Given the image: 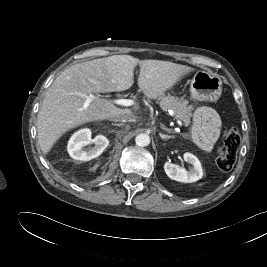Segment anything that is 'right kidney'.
<instances>
[{
  "instance_id": "obj_1",
  "label": "right kidney",
  "mask_w": 267,
  "mask_h": 267,
  "mask_svg": "<svg viewBox=\"0 0 267 267\" xmlns=\"http://www.w3.org/2000/svg\"><path fill=\"white\" fill-rule=\"evenodd\" d=\"M91 143H94L95 146L89 150H84V147ZM108 145L109 141L105 136L97 135L94 139H91V130L85 128L71 136L67 150L73 159L89 161L101 155Z\"/></svg>"
}]
</instances>
